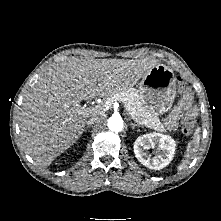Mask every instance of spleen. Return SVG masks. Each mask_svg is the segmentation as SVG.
<instances>
[{"label": "spleen", "instance_id": "3e777b00", "mask_svg": "<svg viewBox=\"0 0 221 221\" xmlns=\"http://www.w3.org/2000/svg\"><path fill=\"white\" fill-rule=\"evenodd\" d=\"M199 128L196 129V132H195V136H194V139H193V143H189L188 147H187V151L190 150L191 148V145L194 144V145H197L198 142H199ZM191 152H192V155L193 153L195 152V149H191ZM189 161L188 159H185L183 160L179 165H178V171H181L183 169H185L188 165Z\"/></svg>", "mask_w": 221, "mask_h": 221}]
</instances>
